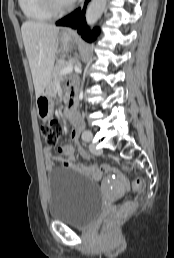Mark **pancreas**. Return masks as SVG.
<instances>
[{
	"label": "pancreas",
	"mask_w": 174,
	"mask_h": 258,
	"mask_svg": "<svg viewBox=\"0 0 174 258\" xmlns=\"http://www.w3.org/2000/svg\"><path fill=\"white\" fill-rule=\"evenodd\" d=\"M71 63L67 62V61H58L55 65L53 74H52V89L53 91H55L54 86L57 82L62 81L63 78L65 77V74H61L60 71L66 67L67 65H70ZM52 93V92H51Z\"/></svg>",
	"instance_id": "obj_1"
}]
</instances>
